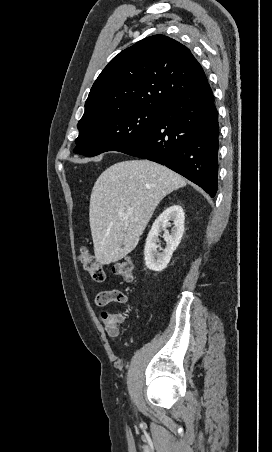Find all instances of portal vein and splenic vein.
Here are the masks:
<instances>
[{
    "mask_svg": "<svg viewBox=\"0 0 272 452\" xmlns=\"http://www.w3.org/2000/svg\"><path fill=\"white\" fill-rule=\"evenodd\" d=\"M127 211H128V213H131V212L133 211V208L129 207V208L127 209Z\"/></svg>",
    "mask_w": 272,
    "mask_h": 452,
    "instance_id": "18ae733b",
    "label": "portal vein and splenic vein"
}]
</instances>
